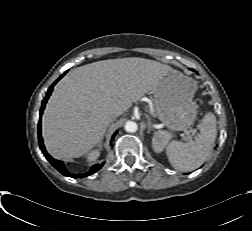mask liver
I'll return each mask as SVG.
<instances>
[{"instance_id":"liver-1","label":"liver","mask_w":252,"mask_h":231,"mask_svg":"<svg viewBox=\"0 0 252 231\" xmlns=\"http://www.w3.org/2000/svg\"><path fill=\"white\" fill-rule=\"evenodd\" d=\"M171 69L154 60L131 57L69 71L56 85L42 117L47 151L56 159L87 154L101 142L108 116L122 115Z\"/></svg>"}]
</instances>
